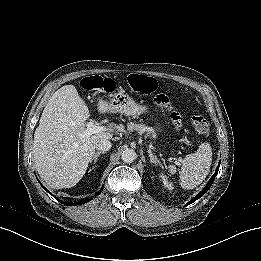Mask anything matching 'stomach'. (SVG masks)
Listing matches in <instances>:
<instances>
[{"label":"stomach","mask_w":261,"mask_h":261,"mask_svg":"<svg viewBox=\"0 0 261 261\" xmlns=\"http://www.w3.org/2000/svg\"><path fill=\"white\" fill-rule=\"evenodd\" d=\"M110 106L112 110L132 117H139L148 110L147 106L136 103L131 97L124 93L117 94V96L112 99Z\"/></svg>","instance_id":"0dacf381"}]
</instances>
